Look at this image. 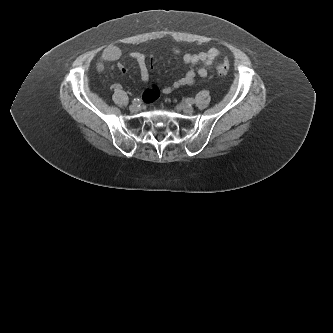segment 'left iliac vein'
<instances>
[{"label":"left iliac vein","instance_id":"4c4485c4","mask_svg":"<svg viewBox=\"0 0 333 333\" xmlns=\"http://www.w3.org/2000/svg\"><path fill=\"white\" fill-rule=\"evenodd\" d=\"M179 107L182 109V111L186 114H191L193 113L194 109L191 105L188 104H180Z\"/></svg>","mask_w":333,"mask_h":333}]
</instances>
